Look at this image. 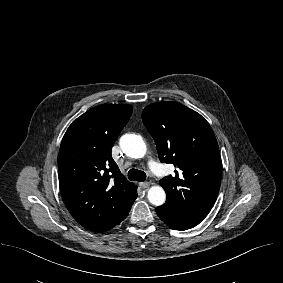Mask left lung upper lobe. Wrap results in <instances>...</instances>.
<instances>
[{"label":"left lung upper lobe","instance_id":"5c2ea615","mask_svg":"<svg viewBox=\"0 0 283 283\" xmlns=\"http://www.w3.org/2000/svg\"><path fill=\"white\" fill-rule=\"evenodd\" d=\"M142 120L154 138L160 161L179 168L175 176L160 180L167 195L161 207L203 220L218 196L222 172L219 147L209 123L173 101L147 106Z\"/></svg>","mask_w":283,"mask_h":283}]
</instances>
